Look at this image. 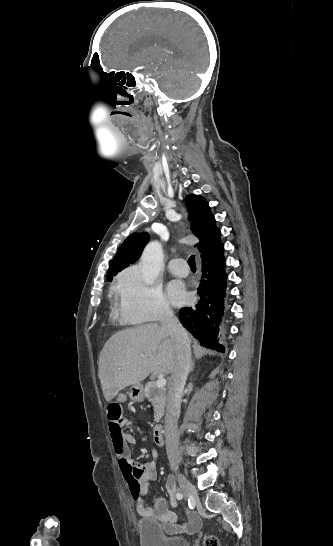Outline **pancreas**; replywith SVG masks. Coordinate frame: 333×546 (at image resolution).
Masks as SVG:
<instances>
[{"label":"pancreas","mask_w":333,"mask_h":546,"mask_svg":"<svg viewBox=\"0 0 333 546\" xmlns=\"http://www.w3.org/2000/svg\"><path fill=\"white\" fill-rule=\"evenodd\" d=\"M144 396L154 407V421L160 422L166 405V389L157 387L156 382L151 380L145 384Z\"/></svg>","instance_id":"pancreas-1"}]
</instances>
